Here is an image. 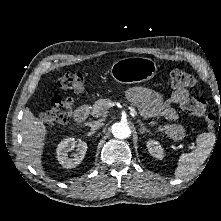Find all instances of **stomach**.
Returning a JSON list of instances; mask_svg holds the SVG:
<instances>
[{"mask_svg":"<svg viewBox=\"0 0 221 221\" xmlns=\"http://www.w3.org/2000/svg\"><path fill=\"white\" fill-rule=\"evenodd\" d=\"M156 63L148 58L129 57L116 61L111 67L115 82L122 84L139 83L154 77Z\"/></svg>","mask_w":221,"mask_h":221,"instance_id":"1","label":"stomach"}]
</instances>
